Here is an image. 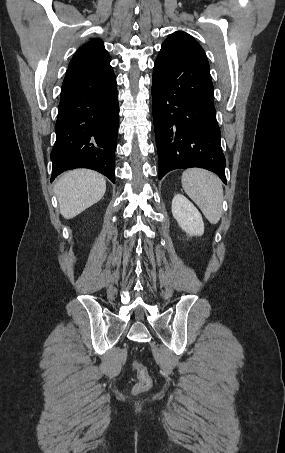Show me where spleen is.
<instances>
[{
	"label": "spleen",
	"mask_w": 285,
	"mask_h": 453,
	"mask_svg": "<svg viewBox=\"0 0 285 453\" xmlns=\"http://www.w3.org/2000/svg\"><path fill=\"white\" fill-rule=\"evenodd\" d=\"M182 187L211 224L221 218L223 187L220 178L204 169L191 168L183 172Z\"/></svg>",
	"instance_id": "1"
}]
</instances>
